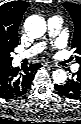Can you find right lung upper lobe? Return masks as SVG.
Wrapping results in <instances>:
<instances>
[{"instance_id":"cb5924a9","label":"right lung upper lobe","mask_w":81,"mask_h":124,"mask_svg":"<svg viewBox=\"0 0 81 124\" xmlns=\"http://www.w3.org/2000/svg\"><path fill=\"white\" fill-rule=\"evenodd\" d=\"M29 5L25 1H11L0 6V67L11 64L7 53L18 45V29Z\"/></svg>"}]
</instances>
